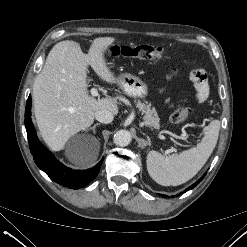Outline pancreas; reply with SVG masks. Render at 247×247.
<instances>
[{"mask_svg":"<svg viewBox=\"0 0 247 247\" xmlns=\"http://www.w3.org/2000/svg\"><path fill=\"white\" fill-rule=\"evenodd\" d=\"M137 108L139 110H141L144 113V123L145 125H147L148 127H154V128H159L160 124H159V117L158 114L155 110V108H150V104H147V102H141V101H137L136 104Z\"/></svg>","mask_w":247,"mask_h":247,"instance_id":"1","label":"pancreas"}]
</instances>
